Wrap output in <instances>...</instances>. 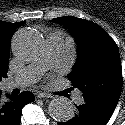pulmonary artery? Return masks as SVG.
<instances>
[{
  "mask_svg": "<svg viewBox=\"0 0 125 125\" xmlns=\"http://www.w3.org/2000/svg\"><path fill=\"white\" fill-rule=\"evenodd\" d=\"M67 49L65 36L62 32H52L46 36L44 47L33 62L27 65L21 72L6 82V88H23L36 83L47 70H57L62 66L63 57ZM75 102H84L81 93L75 96Z\"/></svg>",
  "mask_w": 125,
  "mask_h": 125,
  "instance_id": "e3ab8cb5",
  "label": "pulmonary artery"
}]
</instances>
